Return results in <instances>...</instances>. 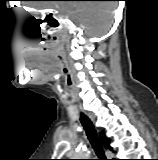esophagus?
Here are the masks:
<instances>
[{
	"instance_id": "esophagus-1",
	"label": "esophagus",
	"mask_w": 158,
	"mask_h": 160,
	"mask_svg": "<svg viewBox=\"0 0 158 160\" xmlns=\"http://www.w3.org/2000/svg\"><path fill=\"white\" fill-rule=\"evenodd\" d=\"M90 117H91V119H92V120H94V118H93V116H92V115H90Z\"/></svg>"
}]
</instances>
